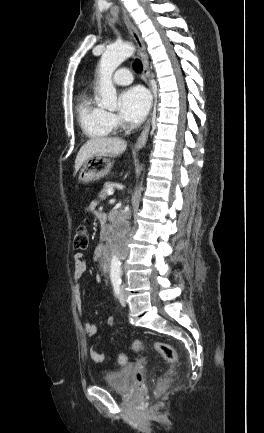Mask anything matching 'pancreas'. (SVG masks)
<instances>
[{
  "label": "pancreas",
  "instance_id": "cf45deb5",
  "mask_svg": "<svg viewBox=\"0 0 264 433\" xmlns=\"http://www.w3.org/2000/svg\"><path fill=\"white\" fill-rule=\"evenodd\" d=\"M110 189L113 190V183L106 182L104 184L103 189L101 190V192L99 194L100 200H105L107 198V196H108V190H110Z\"/></svg>",
  "mask_w": 264,
  "mask_h": 433
}]
</instances>
